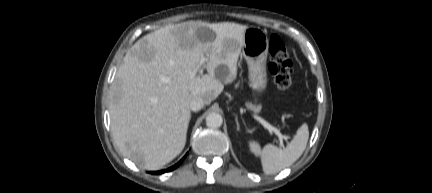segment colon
<instances>
[{"mask_svg":"<svg viewBox=\"0 0 432 193\" xmlns=\"http://www.w3.org/2000/svg\"><path fill=\"white\" fill-rule=\"evenodd\" d=\"M269 71L274 77L276 87L286 91L292 84V62L282 39L272 35L269 40Z\"/></svg>","mask_w":432,"mask_h":193,"instance_id":"1","label":"colon"}]
</instances>
